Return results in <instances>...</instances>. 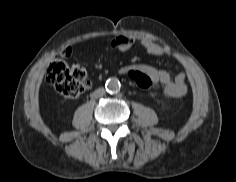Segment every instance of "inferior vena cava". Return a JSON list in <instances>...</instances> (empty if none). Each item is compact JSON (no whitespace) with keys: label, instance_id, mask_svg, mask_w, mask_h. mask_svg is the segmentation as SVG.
Wrapping results in <instances>:
<instances>
[{"label":"inferior vena cava","instance_id":"602c4592","mask_svg":"<svg viewBox=\"0 0 236 182\" xmlns=\"http://www.w3.org/2000/svg\"><path fill=\"white\" fill-rule=\"evenodd\" d=\"M105 94V90L104 88H98L97 90L94 91L93 95L95 97H100L103 96Z\"/></svg>","mask_w":236,"mask_h":182}]
</instances>
